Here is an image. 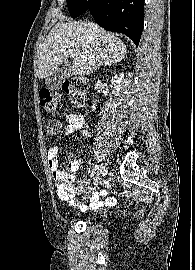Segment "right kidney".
Segmentation results:
<instances>
[{"label": "right kidney", "mask_w": 195, "mask_h": 270, "mask_svg": "<svg viewBox=\"0 0 195 270\" xmlns=\"http://www.w3.org/2000/svg\"><path fill=\"white\" fill-rule=\"evenodd\" d=\"M123 73L119 74V75H116L112 78L111 82L113 85H119L121 83V81L123 80ZM96 103H94L92 105V111H95L96 110Z\"/></svg>", "instance_id": "obj_1"}]
</instances>
